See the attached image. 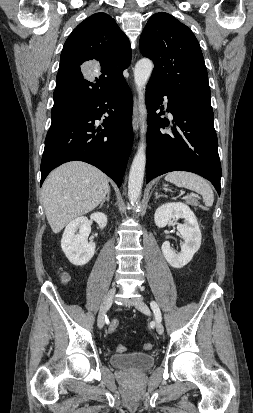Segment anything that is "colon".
Listing matches in <instances>:
<instances>
[{"mask_svg":"<svg viewBox=\"0 0 253 413\" xmlns=\"http://www.w3.org/2000/svg\"><path fill=\"white\" fill-rule=\"evenodd\" d=\"M63 279L67 280V275L63 274ZM119 327V321L117 319H113L110 323H109V327L108 330L109 332H114L117 328ZM144 350L148 351L152 349V344L151 343H145L143 345ZM126 350V347L123 345H119L117 346V351L118 352H124Z\"/></svg>","mask_w":253,"mask_h":413,"instance_id":"colon-1","label":"colon"}]
</instances>
